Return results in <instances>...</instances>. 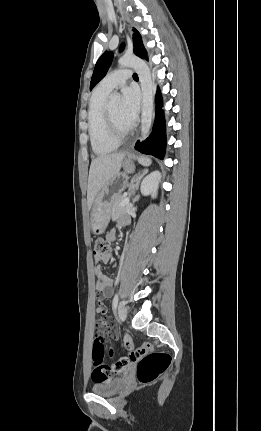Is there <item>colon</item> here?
<instances>
[{
	"label": "colon",
	"mask_w": 261,
	"mask_h": 431,
	"mask_svg": "<svg viewBox=\"0 0 261 431\" xmlns=\"http://www.w3.org/2000/svg\"><path fill=\"white\" fill-rule=\"evenodd\" d=\"M110 245L108 241L99 238L94 241L93 254L95 258H101L109 253ZM137 362V379L142 384H150L157 380L165 372L171 363V357L163 352H151V345L146 344L143 347H137L136 350H130L128 357L115 360L113 365L104 363V348L100 339L95 337L93 346V370L91 373V382L96 385L102 383L118 382L119 373H125L126 366L129 362Z\"/></svg>",
	"instance_id": "obj_1"
}]
</instances>
